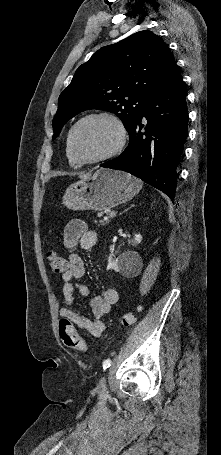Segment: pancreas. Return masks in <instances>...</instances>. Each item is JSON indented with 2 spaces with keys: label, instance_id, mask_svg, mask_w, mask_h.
Wrapping results in <instances>:
<instances>
[{
  "label": "pancreas",
  "instance_id": "cf45deb5",
  "mask_svg": "<svg viewBox=\"0 0 221 455\" xmlns=\"http://www.w3.org/2000/svg\"><path fill=\"white\" fill-rule=\"evenodd\" d=\"M95 223H98L99 226H104L107 224V221L99 220V221H95Z\"/></svg>",
  "mask_w": 221,
  "mask_h": 455
}]
</instances>
